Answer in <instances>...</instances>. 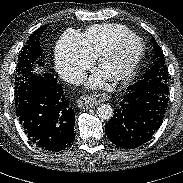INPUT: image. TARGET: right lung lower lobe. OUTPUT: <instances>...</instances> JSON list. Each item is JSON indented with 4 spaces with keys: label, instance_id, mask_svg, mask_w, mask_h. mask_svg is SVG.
<instances>
[{
    "label": "right lung lower lobe",
    "instance_id": "obj_1",
    "mask_svg": "<svg viewBox=\"0 0 183 183\" xmlns=\"http://www.w3.org/2000/svg\"><path fill=\"white\" fill-rule=\"evenodd\" d=\"M16 114L29 140L58 152L75 139V113L51 73L24 78L15 86Z\"/></svg>",
    "mask_w": 183,
    "mask_h": 183
}]
</instances>
